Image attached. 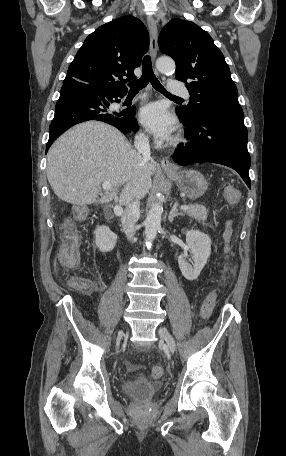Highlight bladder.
<instances>
[{
	"mask_svg": "<svg viewBox=\"0 0 286 456\" xmlns=\"http://www.w3.org/2000/svg\"><path fill=\"white\" fill-rule=\"evenodd\" d=\"M122 391L140 401H150L160 391L159 385H154L144 377L127 380L122 384Z\"/></svg>",
	"mask_w": 286,
	"mask_h": 456,
	"instance_id": "31cf9c89",
	"label": "bladder"
}]
</instances>
